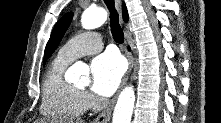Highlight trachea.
Masks as SVG:
<instances>
[{"label": "trachea", "instance_id": "trachea-1", "mask_svg": "<svg viewBox=\"0 0 221 123\" xmlns=\"http://www.w3.org/2000/svg\"><path fill=\"white\" fill-rule=\"evenodd\" d=\"M105 4L107 5L109 11H110V27H111V33L113 36V39L117 43H123L124 42V34L123 30L119 24V15L117 13V10L115 9V3L114 0H104Z\"/></svg>", "mask_w": 221, "mask_h": 123}]
</instances>
